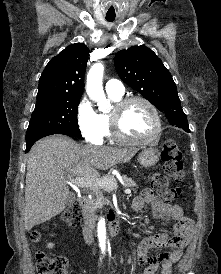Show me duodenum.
Wrapping results in <instances>:
<instances>
[{
  "instance_id": "1",
  "label": "duodenum",
  "mask_w": 221,
  "mask_h": 274,
  "mask_svg": "<svg viewBox=\"0 0 221 274\" xmlns=\"http://www.w3.org/2000/svg\"><path fill=\"white\" fill-rule=\"evenodd\" d=\"M78 203L80 206L83 208V215H84V228H83V233L84 237L87 242H91V232H92V227H93V222H94V216L89 208V198L87 195H82L78 199ZM109 233L112 236H116L121 232V224L119 220L115 217L113 213L109 214Z\"/></svg>"
}]
</instances>
